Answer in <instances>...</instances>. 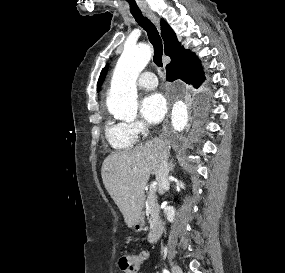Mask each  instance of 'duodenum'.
Segmentation results:
<instances>
[{
    "mask_svg": "<svg viewBox=\"0 0 285 273\" xmlns=\"http://www.w3.org/2000/svg\"><path fill=\"white\" fill-rule=\"evenodd\" d=\"M163 231V224L160 219L155 218L152 222L151 230L148 234V241L154 243Z\"/></svg>",
    "mask_w": 285,
    "mask_h": 273,
    "instance_id": "410a0bca",
    "label": "duodenum"
}]
</instances>
